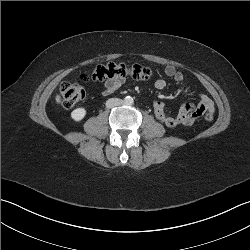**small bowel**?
Segmentation results:
<instances>
[{"instance_id":"obj_1","label":"small bowel","mask_w":250,"mask_h":250,"mask_svg":"<svg viewBox=\"0 0 250 250\" xmlns=\"http://www.w3.org/2000/svg\"><path fill=\"white\" fill-rule=\"evenodd\" d=\"M164 73L167 77L172 78L174 81L178 83L184 82V75L182 72L178 71L174 66L167 65L164 69ZM125 79L123 78H113L107 79L104 82L102 93L104 95H110L119 89L124 83ZM167 82L160 78L157 79L154 83V86L158 90H162L166 87ZM199 102L197 105H193L190 103L183 104L177 115L171 116L165 112L164 104L156 100L153 103V111L156 118L166 125L167 127H176L179 125L190 126L192 125L199 117H201L205 112L214 111V103L213 101L204 93L196 92Z\"/></svg>"}]
</instances>
